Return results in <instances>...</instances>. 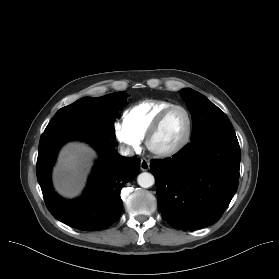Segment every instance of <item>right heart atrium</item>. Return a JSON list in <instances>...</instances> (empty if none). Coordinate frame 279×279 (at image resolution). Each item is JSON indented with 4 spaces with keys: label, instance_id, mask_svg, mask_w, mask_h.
Returning a JSON list of instances; mask_svg holds the SVG:
<instances>
[{
    "label": "right heart atrium",
    "instance_id": "right-heart-atrium-1",
    "mask_svg": "<svg viewBox=\"0 0 279 279\" xmlns=\"http://www.w3.org/2000/svg\"><path fill=\"white\" fill-rule=\"evenodd\" d=\"M114 133L117 140L129 151L135 152L141 146V139L128 130L122 123L114 124Z\"/></svg>",
    "mask_w": 279,
    "mask_h": 279
}]
</instances>
